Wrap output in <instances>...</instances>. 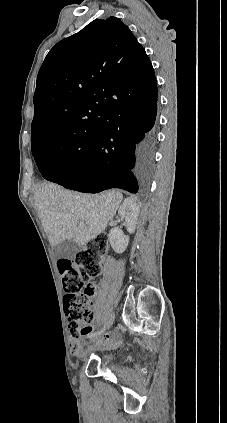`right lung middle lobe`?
<instances>
[{"instance_id":"obj_1","label":"right lung middle lobe","mask_w":227,"mask_h":423,"mask_svg":"<svg viewBox=\"0 0 227 423\" xmlns=\"http://www.w3.org/2000/svg\"><path fill=\"white\" fill-rule=\"evenodd\" d=\"M31 145L40 173L46 180L52 181L67 171H73L75 164L92 151L95 141L75 145L59 136H49Z\"/></svg>"}]
</instances>
